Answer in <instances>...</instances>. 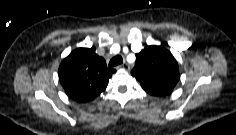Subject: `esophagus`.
I'll list each match as a JSON object with an SVG mask.
<instances>
[{
    "label": "esophagus",
    "instance_id": "esophagus-1",
    "mask_svg": "<svg viewBox=\"0 0 236 135\" xmlns=\"http://www.w3.org/2000/svg\"><path fill=\"white\" fill-rule=\"evenodd\" d=\"M121 67L123 68V69H125V70H129V65L125 62V63H123L122 65H121Z\"/></svg>",
    "mask_w": 236,
    "mask_h": 135
}]
</instances>
